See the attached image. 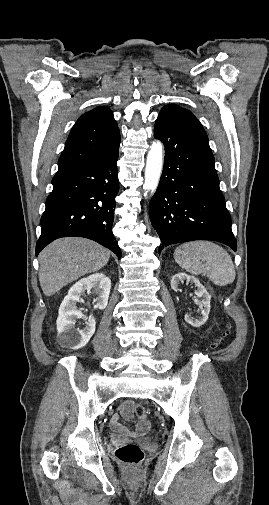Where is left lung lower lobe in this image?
<instances>
[{
	"mask_svg": "<svg viewBox=\"0 0 269 505\" xmlns=\"http://www.w3.org/2000/svg\"><path fill=\"white\" fill-rule=\"evenodd\" d=\"M154 136L165 145L164 170L149 206L161 239L159 253L170 244L193 240L218 241L236 251L214 156L198 119L158 116Z\"/></svg>",
	"mask_w": 269,
	"mask_h": 505,
	"instance_id": "1",
	"label": "left lung lower lobe"
}]
</instances>
